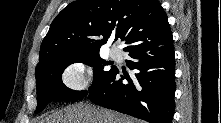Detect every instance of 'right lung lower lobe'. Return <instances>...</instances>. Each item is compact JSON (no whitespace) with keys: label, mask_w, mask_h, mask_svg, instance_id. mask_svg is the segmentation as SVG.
<instances>
[{"label":"right lung lower lobe","mask_w":221,"mask_h":123,"mask_svg":"<svg viewBox=\"0 0 221 123\" xmlns=\"http://www.w3.org/2000/svg\"><path fill=\"white\" fill-rule=\"evenodd\" d=\"M126 61L137 72L122 75L117 68L89 91L90 100L149 123H172L175 110V56L172 34L129 50ZM126 79L127 84L122 81Z\"/></svg>","instance_id":"98d812e1"}]
</instances>
